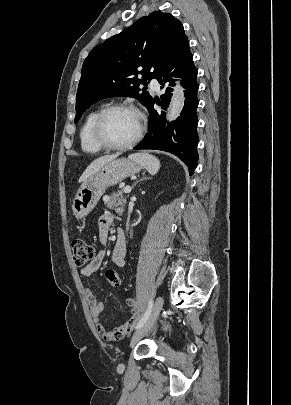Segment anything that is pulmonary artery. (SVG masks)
Segmentation results:
<instances>
[{
  "label": "pulmonary artery",
  "instance_id": "obj_1",
  "mask_svg": "<svg viewBox=\"0 0 291 405\" xmlns=\"http://www.w3.org/2000/svg\"><path fill=\"white\" fill-rule=\"evenodd\" d=\"M159 82L157 81V79H152L151 80V82H150V88L153 90V91H159Z\"/></svg>",
  "mask_w": 291,
  "mask_h": 405
}]
</instances>
